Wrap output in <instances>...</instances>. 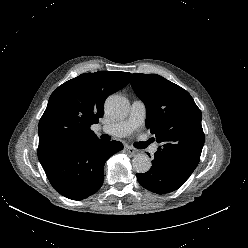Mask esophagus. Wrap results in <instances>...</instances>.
<instances>
[{"label":"esophagus","instance_id":"esophagus-1","mask_svg":"<svg viewBox=\"0 0 248 248\" xmlns=\"http://www.w3.org/2000/svg\"><path fill=\"white\" fill-rule=\"evenodd\" d=\"M127 152L130 154V155H136L138 153V150L133 148V147H127Z\"/></svg>","mask_w":248,"mask_h":248}]
</instances>
